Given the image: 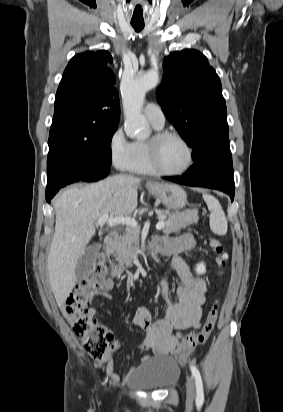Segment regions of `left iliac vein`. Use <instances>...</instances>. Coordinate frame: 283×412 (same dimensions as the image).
Listing matches in <instances>:
<instances>
[{"mask_svg":"<svg viewBox=\"0 0 283 412\" xmlns=\"http://www.w3.org/2000/svg\"><path fill=\"white\" fill-rule=\"evenodd\" d=\"M186 393L189 401H193L195 399V383L193 377L190 375L186 378Z\"/></svg>","mask_w":283,"mask_h":412,"instance_id":"1","label":"left iliac vein"}]
</instances>
